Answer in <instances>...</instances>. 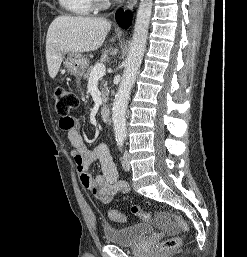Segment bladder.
Segmentation results:
<instances>
[{"label":"bladder","mask_w":247,"mask_h":257,"mask_svg":"<svg viewBox=\"0 0 247 257\" xmlns=\"http://www.w3.org/2000/svg\"><path fill=\"white\" fill-rule=\"evenodd\" d=\"M105 240L117 246H132L152 234L149 224L139 223L124 228L106 226L103 230Z\"/></svg>","instance_id":"obj_1"}]
</instances>
